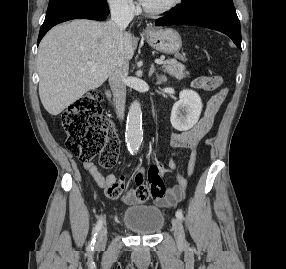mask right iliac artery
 <instances>
[{
  "label": "right iliac artery",
  "instance_id": "obj_1",
  "mask_svg": "<svg viewBox=\"0 0 286 269\" xmlns=\"http://www.w3.org/2000/svg\"><path fill=\"white\" fill-rule=\"evenodd\" d=\"M102 224H103V220H102V217L99 218L98 222L96 223L94 229H93V232H92V239L88 245V250H93L94 249V245H95V242H96V236L98 234V232L100 231L101 227H102Z\"/></svg>",
  "mask_w": 286,
  "mask_h": 269
}]
</instances>
